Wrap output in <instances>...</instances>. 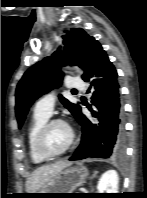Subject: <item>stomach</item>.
<instances>
[{"label":"stomach","mask_w":147,"mask_h":198,"mask_svg":"<svg viewBox=\"0 0 147 198\" xmlns=\"http://www.w3.org/2000/svg\"><path fill=\"white\" fill-rule=\"evenodd\" d=\"M88 176L85 167H69L63 169L54 178L48 181L40 190L35 192L33 198H56L63 197V194L51 193H72L77 187L83 185Z\"/></svg>","instance_id":"1"}]
</instances>
